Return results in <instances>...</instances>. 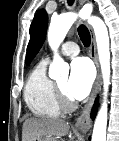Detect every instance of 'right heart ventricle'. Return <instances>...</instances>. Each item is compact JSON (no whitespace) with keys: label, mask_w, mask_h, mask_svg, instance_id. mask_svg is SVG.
<instances>
[{"label":"right heart ventricle","mask_w":119,"mask_h":141,"mask_svg":"<svg viewBox=\"0 0 119 141\" xmlns=\"http://www.w3.org/2000/svg\"><path fill=\"white\" fill-rule=\"evenodd\" d=\"M47 61L39 62L31 71L25 88L24 99L31 113L40 118H57L61 114L55 95L54 81L46 74Z\"/></svg>","instance_id":"1"}]
</instances>
